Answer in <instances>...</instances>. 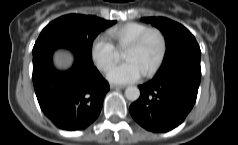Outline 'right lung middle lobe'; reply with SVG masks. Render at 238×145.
Masks as SVG:
<instances>
[{
  "label": "right lung middle lobe",
  "mask_w": 238,
  "mask_h": 145,
  "mask_svg": "<svg viewBox=\"0 0 238 145\" xmlns=\"http://www.w3.org/2000/svg\"><path fill=\"white\" fill-rule=\"evenodd\" d=\"M116 21L81 15L69 14L50 22L40 33L33 54L56 48L71 49L92 59V43L96 36Z\"/></svg>",
  "instance_id": "obj_1"
}]
</instances>
